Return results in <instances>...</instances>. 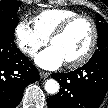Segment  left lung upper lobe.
Instances as JSON below:
<instances>
[{
    "label": "left lung upper lobe",
    "mask_w": 108,
    "mask_h": 108,
    "mask_svg": "<svg viewBox=\"0 0 108 108\" xmlns=\"http://www.w3.org/2000/svg\"><path fill=\"white\" fill-rule=\"evenodd\" d=\"M96 19V26L98 29V49L91 59L99 57L108 58V24L100 14H97Z\"/></svg>",
    "instance_id": "obj_1"
}]
</instances>
